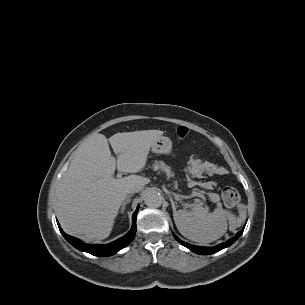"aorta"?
<instances>
[{"label": "aorta", "mask_w": 305, "mask_h": 305, "mask_svg": "<svg viewBox=\"0 0 305 305\" xmlns=\"http://www.w3.org/2000/svg\"><path fill=\"white\" fill-rule=\"evenodd\" d=\"M163 198L161 194L155 190L148 191L144 196V202L149 208H158L162 205Z\"/></svg>", "instance_id": "obj_1"}]
</instances>
